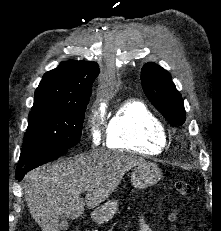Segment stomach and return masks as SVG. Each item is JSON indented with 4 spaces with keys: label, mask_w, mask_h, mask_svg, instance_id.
<instances>
[{
    "label": "stomach",
    "mask_w": 221,
    "mask_h": 231,
    "mask_svg": "<svg viewBox=\"0 0 221 231\" xmlns=\"http://www.w3.org/2000/svg\"><path fill=\"white\" fill-rule=\"evenodd\" d=\"M162 176L159 167L152 163L146 162L135 166L131 173V182L135 188L144 189L155 185ZM118 210V200H109L97 207L92 213V219L101 224L109 221Z\"/></svg>",
    "instance_id": "1"
}]
</instances>
